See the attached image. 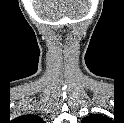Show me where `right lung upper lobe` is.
Here are the masks:
<instances>
[{"instance_id": "1", "label": "right lung upper lobe", "mask_w": 124, "mask_h": 123, "mask_svg": "<svg viewBox=\"0 0 124 123\" xmlns=\"http://www.w3.org/2000/svg\"><path fill=\"white\" fill-rule=\"evenodd\" d=\"M19 119H21L24 122H31V123H41L42 122V120L39 116L33 115V114L20 116Z\"/></svg>"}]
</instances>
